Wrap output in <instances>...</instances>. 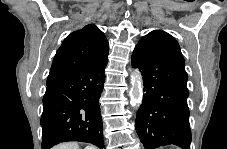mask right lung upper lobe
Listing matches in <instances>:
<instances>
[{
	"mask_svg": "<svg viewBox=\"0 0 227 149\" xmlns=\"http://www.w3.org/2000/svg\"><path fill=\"white\" fill-rule=\"evenodd\" d=\"M109 44L104 33L89 24L72 32L57 50L47 84L91 70L108 61Z\"/></svg>",
	"mask_w": 227,
	"mask_h": 149,
	"instance_id": "1",
	"label": "right lung upper lobe"
}]
</instances>
